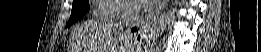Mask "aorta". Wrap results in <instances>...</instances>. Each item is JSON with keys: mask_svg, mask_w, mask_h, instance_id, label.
Returning <instances> with one entry per match:
<instances>
[{"mask_svg": "<svg viewBox=\"0 0 261 52\" xmlns=\"http://www.w3.org/2000/svg\"><path fill=\"white\" fill-rule=\"evenodd\" d=\"M176 8L168 10L157 17L150 28H148L144 34V39L146 45L144 47L145 52L152 50L156 45L158 38L166 30V28L171 24L172 20L176 15Z\"/></svg>", "mask_w": 261, "mask_h": 52, "instance_id": "obj_1", "label": "aorta"}]
</instances>
